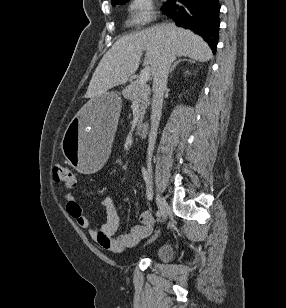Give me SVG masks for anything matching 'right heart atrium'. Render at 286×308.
<instances>
[{
  "instance_id": "1",
  "label": "right heart atrium",
  "mask_w": 286,
  "mask_h": 308,
  "mask_svg": "<svg viewBox=\"0 0 286 308\" xmlns=\"http://www.w3.org/2000/svg\"><path fill=\"white\" fill-rule=\"evenodd\" d=\"M128 12L134 24L138 26L147 25L155 15L153 0H129Z\"/></svg>"
}]
</instances>
